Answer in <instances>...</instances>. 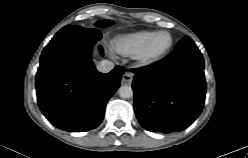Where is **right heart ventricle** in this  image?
Wrapping results in <instances>:
<instances>
[{"label":"right heart ventricle","instance_id":"right-heart-ventricle-1","mask_svg":"<svg viewBox=\"0 0 248 158\" xmlns=\"http://www.w3.org/2000/svg\"><path fill=\"white\" fill-rule=\"evenodd\" d=\"M154 31L141 30L130 34L118 36L113 41L114 49L126 56H136L143 49Z\"/></svg>","mask_w":248,"mask_h":158}]
</instances>
